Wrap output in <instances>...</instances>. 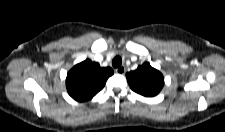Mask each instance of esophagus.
Listing matches in <instances>:
<instances>
[{
    "instance_id": "esophagus-1",
    "label": "esophagus",
    "mask_w": 225,
    "mask_h": 132,
    "mask_svg": "<svg viewBox=\"0 0 225 132\" xmlns=\"http://www.w3.org/2000/svg\"><path fill=\"white\" fill-rule=\"evenodd\" d=\"M115 71H116L117 74L122 75V74L125 73L126 69H125L124 66H120V67H118Z\"/></svg>"
}]
</instances>
